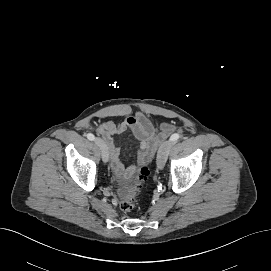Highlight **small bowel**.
<instances>
[{
  "mask_svg": "<svg viewBox=\"0 0 271 271\" xmlns=\"http://www.w3.org/2000/svg\"><path fill=\"white\" fill-rule=\"evenodd\" d=\"M172 130L168 124L162 125V136ZM98 133L106 143L110 156V167L119 181L128 180L135 172L136 166H125L119 158L120 149L114 143L113 136L131 132L134 138L139 142L138 162H150L160 142V138L155 135V128L152 122L142 113H136L127 117L120 123L108 121L97 128Z\"/></svg>",
  "mask_w": 271,
  "mask_h": 271,
  "instance_id": "obj_1",
  "label": "small bowel"
}]
</instances>
